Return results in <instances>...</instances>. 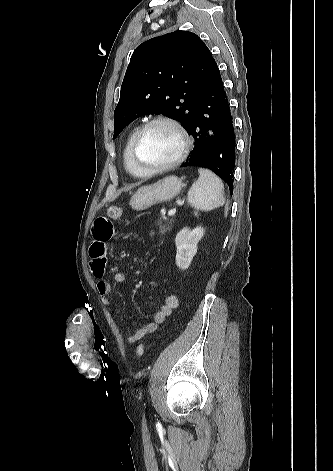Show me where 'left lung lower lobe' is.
<instances>
[{
  "label": "left lung lower lobe",
  "instance_id": "left-lung-lower-lobe-1",
  "mask_svg": "<svg viewBox=\"0 0 333 471\" xmlns=\"http://www.w3.org/2000/svg\"><path fill=\"white\" fill-rule=\"evenodd\" d=\"M195 139L189 159L181 165L213 170L233 192L235 164V132L230 106L218 66L204 87L196 113L188 128Z\"/></svg>",
  "mask_w": 333,
  "mask_h": 471
}]
</instances>
